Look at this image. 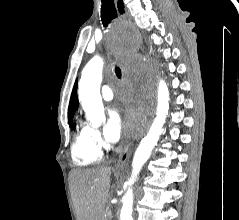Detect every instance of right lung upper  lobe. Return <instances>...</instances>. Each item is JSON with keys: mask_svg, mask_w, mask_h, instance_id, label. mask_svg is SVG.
<instances>
[{"mask_svg": "<svg viewBox=\"0 0 239 220\" xmlns=\"http://www.w3.org/2000/svg\"><path fill=\"white\" fill-rule=\"evenodd\" d=\"M78 108L77 100V81L74 84L73 91L70 98L69 108H68V120L73 119L74 113Z\"/></svg>", "mask_w": 239, "mask_h": 220, "instance_id": "right-lung-upper-lobe-1", "label": "right lung upper lobe"}]
</instances>
